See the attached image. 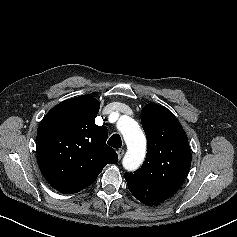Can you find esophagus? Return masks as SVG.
I'll return each mask as SVG.
<instances>
[{
    "instance_id": "34e87169",
    "label": "esophagus",
    "mask_w": 237,
    "mask_h": 237,
    "mask_svg": "<svg viewBox=\"0 0 237 237\" xmlns=\"http://www.w3.org/2000/svg\"><path fill=\"white\" fill-rule=\"evenodd\" d=\"M117 154H118L119 159H121L122 156L124 155V150L123 149L117 150Z\"/></svg>"
}]
</instances>
